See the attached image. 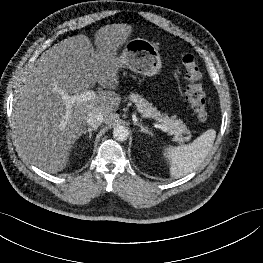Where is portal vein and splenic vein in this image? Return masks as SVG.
Segmentation results:
<instances>
[{
  "label": "portal vein and splenic vein",
  "instance_id": "obj_1",
  "mask_svg": "<svg viewBox=\"0 0 263 263\" xmlns=\"http://www.w3.org/2000/svg\"><path fill=\"white\" fill-rule=\"evenodd\" d=\"M61 94H62V99L65 101L66 107H67L66 114H65V121H62V125H66L67 120L69 119L71 115V112H72L71 108L73 104L92 100L96 96L93 90L84 91L80 94H76L72 96L64 95L63 91H61ZM156 127L160 128L163 131H167V127L164 124L157 123Z\"/></svg>",
  "mask_w": 263,
  "mask_h": 263
}]
</instances>
